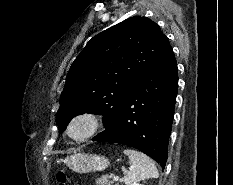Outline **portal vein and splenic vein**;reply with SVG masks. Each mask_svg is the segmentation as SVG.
<instances>
[{
  "instance_id": "obj_1",
  "label": "portal vein and splenic vein",
  "mask_w": 233,
  "mask_h": 185,
  "mask_svg": "<svg viewBox=\"0 0 233 185\" xmlns=\"http://www.w3.org/2000/svg\"><path fill=\"white\" fill-rule=\"evenodd\" d=\"M113 180H114V181H118V180H119V177H118V176H113Z\"/></svg>"
}]
</instances>
